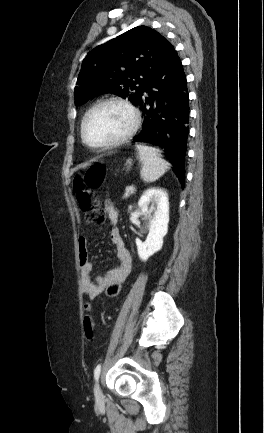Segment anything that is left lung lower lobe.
I'll return each instance as SVG.
<instances>
[{
  "label": "left lung lower lobe",
  "instance_id": "obj_1",
  "mask_svg": "<svg viewBox=\"0 0 264 433\" xmlns=\"http://www.w3.org/2000/svg\"><path fill=\"white\" fill-rule=\"evenodd\" d=\"M189 94L180 58L170 52L164 66L150 80L137 105L143 125L134 142H147L165 151L166 159L185 186V155L189 133Z\"/></svg>",
  "mask_w": 264,
  "mask_h": 433
}]
</instances>
